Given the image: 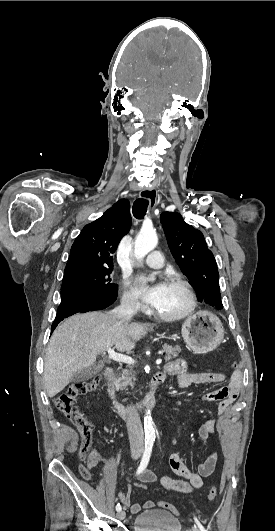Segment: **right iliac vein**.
I'll use <instances>...</instances> for the list:
<instances>
[{"instance_id":"obj_1","label":"right iliac vein","mask_w":275,"mask_h":531,"mask_svg":"<svg viewBox=\"0 0 275 531\" xmlns=\"http://www.w3.org/2000/svg\"><path fill=\"white\" fill-rule=\"evenodd\" d=\"M140 457V454L139 453H135L133 454V459L134 460H137L138 458ZM126 514L124 511H119L117 513V518L120 519V520H123L125 518Z\"/></svg>"}]
</instances>
